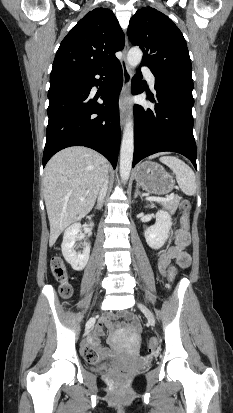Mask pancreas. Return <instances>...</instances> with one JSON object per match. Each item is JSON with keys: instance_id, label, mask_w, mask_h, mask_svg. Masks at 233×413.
<instances>
[{"instance_id": "cf45deb5", "label": "pancreas", "mask_w": 233, "mask_h": 413, "mask_svg": "<svg viewBox=\"0 0 233 413\" xmlns=\"http://www.w3.org/2000/svg\"><path fill=\"white\" fill-rule=\"evenodd\" d=\"M179 202L180 198L178 196H175L172 200L163 202L162 205L165 209L169 210V212L173 214L177 210Z\"/></svg>"}]
</instances>
